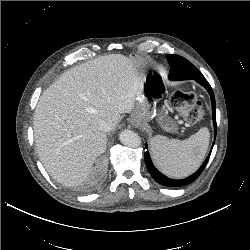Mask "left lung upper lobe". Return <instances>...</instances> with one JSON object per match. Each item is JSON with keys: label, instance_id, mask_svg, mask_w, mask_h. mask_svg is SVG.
Wrapping results in <instances>:
<instances>
[{"label": "left lung upper lobe", "instance_id": "5c2ea615", "mask_svg": "<svg viewBox=\"0 0 250 250\" xmlns=\"http://www.w3.org/2000/svg\"><path fill=\"white\" fill-rule=\"evenodd\" d=\"M172 56H174V55H167V59H168L169 57H172Z\"/></svg>", "mask_w": 250, "mask_h": 250}]
</instances>
